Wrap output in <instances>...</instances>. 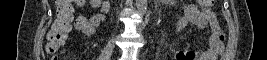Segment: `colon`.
<instances>
[{
  "label": "colon",
  "instance_id": "1",
  "mask_svg": "<svg viewBox=\"0 0 267 60\" xmlns=\"http://www.w3.org/2000/svg\"><path fill=\"white\" fill-rule=\"evenodd\" d=\"M73 2L81 3L83 0H57L56 17L52 23L47 37L46 51L52 56V60L65 59L61 47L72 27L74 7ZM205 6H210L214 0H202Z\"/></svg>",
  "mask_w": 267,
  "mask_h": 60
}]
</instances>
